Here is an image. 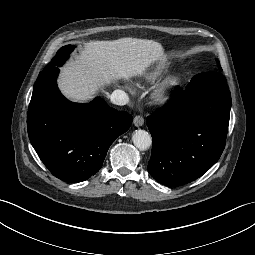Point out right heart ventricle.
I'll list each match as a JSON object with an SVG mask.
<instances>
[{"instance_id": "right-heart-ventricle-1", "label": "right heart ventricle", "mask_w": 255, "mask_h": 255, "mask_svg": "<svg viewBox=\"0 0 255 255\" xmlns=\"http://www.w3.org/2000/svg\"><path fill=\"white\" fill-rule=\"evenodd\" d=\"M162 71H163V67H159L158 69H156V70L150 72V73L147 75V80H149V81L155 80L158 76L161 75Z\"/></svg>"}]
</instances>
